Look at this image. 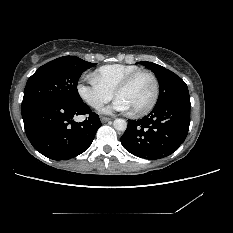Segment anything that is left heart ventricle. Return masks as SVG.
<instances>
[{
	"label": "left heart ventricle",
	"mask_w": 233,
	"mask_h": 233,
	"mask_svg": "<svg viewBox=\"0 0 233 233\" xmlns=\"http://www.w3.org/2000/svg\"><path fill=\"white\" fill-rule=\"evenodd\" d=\"M153 82L151 78L142 74L130 86L122 90L117 97L124 100L131 111L146 107L153 96Z\"/></svg>",
	"instance_id": "b2bd125f"
}]
</instances>
